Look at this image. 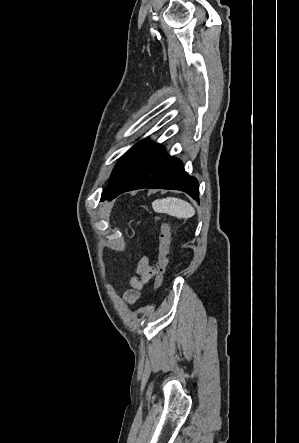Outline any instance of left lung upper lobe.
I'll use <instances>...</instances> for the list:
<instances>
[{"label": "left lung upper lobe", "mask_w": 299, "mask_h": 443, "mask_svg": "<svg viewBox=\"0 0 299 443\" xmlns=\"http://www.w3.org/2000/svg\"><path fill=\"white\" fill-rule=\"evenodd\" d=\"M156 147L157 144H150L146 139H144L129 149L127 153L117 162L106 190L113 188L137 162H139Z\"/></svg>", "instance_id": "5c2ea615"}]
</instances>
